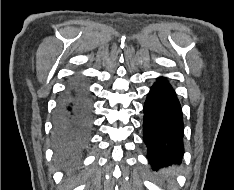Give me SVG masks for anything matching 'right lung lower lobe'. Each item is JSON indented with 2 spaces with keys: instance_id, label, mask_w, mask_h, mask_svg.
I'll list each match as a JSON object with an SVG mask.
<instances>
[{
  "instance_id": "98d812e1",
  "label": "right lung lower lobe",
  "mask_w": 234,
  "mask_h": 190,
  "mask_svg": "<svg viewBox=\"0 0 234 190\" xmlns=\"http://www.w3.org/2000/svg\"><path fill=\"white\" fill-rule=\"evenodd\" d=\"M91 103L80 87L63 96L55 121L56 145L61 151L77 150L89 138L92 126Z\"/></svg>"
}]
</instances>
